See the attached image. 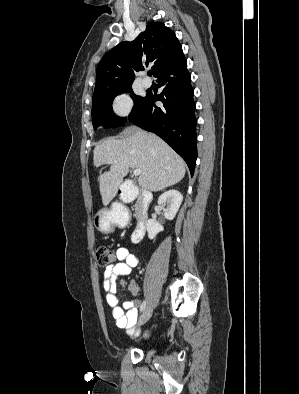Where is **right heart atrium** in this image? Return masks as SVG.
Returning <instances> with one entry per match:
<instances>
[{"instance_id": "obj_1", "label": "right heart atrium", "mask_w": 299, "mask_h": 394, "mask_svg": "<svg viewBox=\"0 0 299 394\" xmlns=\"http://www.w3.org/2000/svg\"><path fill=\"white\" fill-rule=\"evenodd\" d=\"M132 109V100L127 94L118 95L113 103V110L119 117L127 116Z\"/></svg>"}]
</instances>
